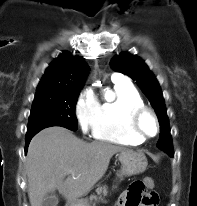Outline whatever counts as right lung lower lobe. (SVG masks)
I'll list each match as a JSON object with an SVG mask.
<instances>
[{
	"mask_svg": "<svg viewBox=\"0 0 197 206\" xmlns=\"http://www.w3.org/2000/svg\"><path fill=\"white\" fill-rule=\"evenodd\" d=\"M32 137H33V136H30V137H27V138H26L25 153H27L28 145H29V143H30V141H31Z\"/></svg>",
	"mask_w": 197,
	"mask_h": 206,
	"instance_id": "right-lung-lower-lobe-1",
	"label": "right lung lower lobe"
}]
</instances>
